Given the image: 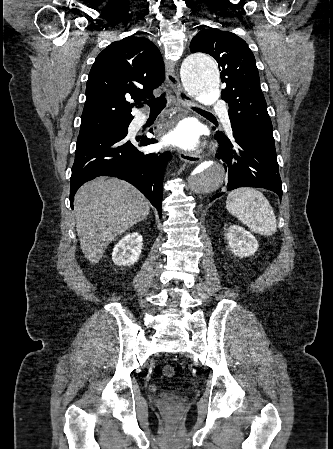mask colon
<instances>
[{
	"label": "colon",
	"instance_id": "colon-1",
	"mask_svg": "<svg viewBox=\"0 0 333 449\" xmlns=\"http://www.w3.org/2000/svg\"><path fill=\"white\" fill-rule=\"evenodd\" d=\"M162 371L166 377H172L175 374V369L172 365H165Z\"/></svg>",
	"mask_w": 333,
	"mask_h": 449
}]
</instances>
